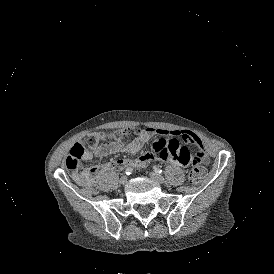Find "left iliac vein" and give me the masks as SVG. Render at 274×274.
<instances>
[{
    "instance_id": "obj_1",
    "label": "left iliac vein",
    "mask_w": 274,
    "mask_h": 274,
    "mask_svg": "<svg viewBox=\"0 0 274 274\" xmlns=\"http://www.w3.org/2000/svg\"><path fill=\"white\" fill-rule=\"evenodd\" d=\"M149 175H150V177H151L152 179H154V180L157 181L158 183H160V184L165 183V179H164L163 176H161V175H159V174H156V173H153V172L150 173Z\"/></svg>"
}]
</instances>
